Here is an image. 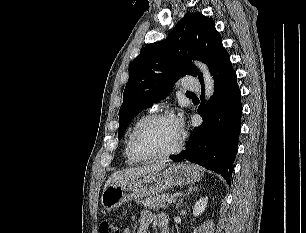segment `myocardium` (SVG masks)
<instances>
[{
	"mask_svg": "<svg viewBox=\"0 0 306 233\" xmlns=\"http://www.w3.org/2000/svg\"><path fill=\"white\" fill-rule=\"evenodd\" d=\"M163 119H173L172 114L168 112H158L153 113L151 115H148L144 120L140 122V124L135 128L133 131L131 138H130V149L133 154V156L138 160H152V159H160V158H166L173 156L177 154L183 145V135L180 133L179 139L176 143V145L168 151L165 152H144L139 147V138L142 132L152 123L158 120Z\"/></svg>",
	"mask_w": 306,
	"mask_h": 233,
	"instance_id": "f54148a6",
	"label": "myocardium"
}]
</instances>
